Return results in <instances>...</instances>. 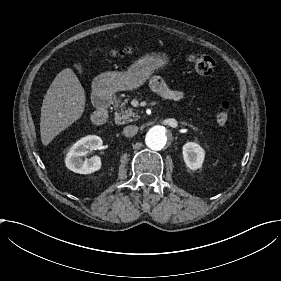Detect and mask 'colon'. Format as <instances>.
<instances>
[{"instance_id": "colon-1", "label": "colon", "mask_w": 281, "mask_h": 281, "mask_svg": "<svg viewBox=\"0 0 281 281\" xmlns=\"http://www.w3.org/2000/svg\"><path fill=\"white\" fill-rule=\"evenodd\" d=\"M143 52L140 44H132L124 47H100L92 50V56L96 60H130L139 57ZM189 62L196 68L199 74L204 77L212 78L216 76L217 69L214 60L206 54L192 53L188 56ZM231 114V103L221 102L214 114V121L217 127H225L228 124Z\"/></svg>"}]
</instances>
